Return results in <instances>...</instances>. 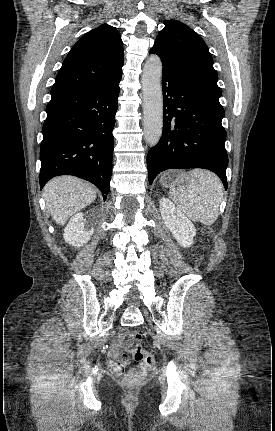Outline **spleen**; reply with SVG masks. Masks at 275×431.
Instances as JSON below:
<instances>
[{"mask_svg":"<svg viewBox=\"0 0 275 431\" xmlns=\"http://www.w3.org/2000/svg\"><path fill=\"white\" fill-rule=\"evenodd\" d=\"M184 180L188 181L186 185ZM170 197L191 220L210 226L218 218L223 185L214 173L195 169L177 176L170 187Z\"/></svg>","mask_w":275,"mask_h":431,"instance_id":"spleen-1","label":"spleen"}]
</instances>
